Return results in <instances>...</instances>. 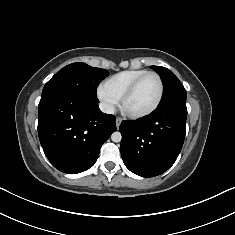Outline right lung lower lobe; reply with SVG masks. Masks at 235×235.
<instances>
[{
	"label": "right lung lower lobe",
	"instance_id": "right-lung-lower-lobe-1",
	"mask_svg": "<svg viewBox=\"0 0 235 235\" xmlns=\"http://www.w3.org/2000/svg\"><path fill=\"white\" fill-rule=\"evenodd\" d=\"M98 102L70 92L41 97L38 135L45 155L58 170L76 174L91 168L102 144L116 130V117L102 113Z\"/></svg>",
	"mask_w": 235,
	"mask_h": 235
}]
</instances>
